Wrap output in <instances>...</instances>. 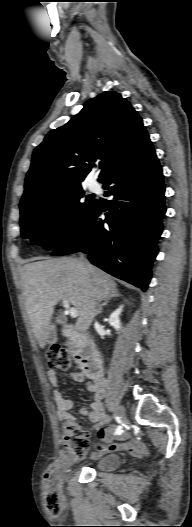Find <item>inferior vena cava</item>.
Returning <instances> with one entry per match:
<instances>
[{
  "label": "inferior vena cava",
  "instance_id": "1",
  "mask_svg": "<svg viewBox=\"0 0 192 527\" xmlns=\"http://www.w3.org/2000/svg\"><path fill=\"white\" fill-rule=\"evenodd\" d=\"M80 261H85V257L83 254L80 255Z\"/></svg>",
  "mask_w": 192,
  "mask_h": 527
}]
</instances>
